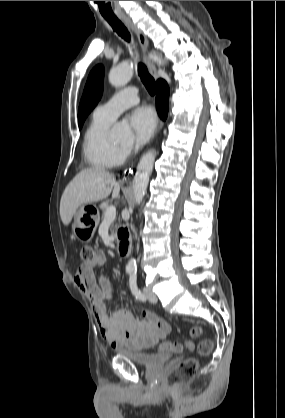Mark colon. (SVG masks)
<instances>
[{
	"mask_svg": "<svg viewBox=\"0 0 285 418\" xmlns=\"http://www.w3.org/2000/svg\"><path fill=\"white\" fill-rule=\"evenodd\" d=\"M97 256V252L93 247H84L80 251L81 260L84 263H92ZM202 334V329L200 327H194L190 330V335L192 337H199ZM214 342L211 338H203L199 341L197 346V352L199 357L207 356L213 349ZM160 351L178 353L185 349H189V341L185 342H171L165 341L161 342L158 345ZM199 358L192 357L183 360L177 364L167 375L164 385L167 388H173L181 386L190 382L194 377L198 367H199Z\"/></svg>",
	"mask_w": 285,
	"mask_h": 418,
	"instance_id": "1",
	"label": "colon"
}]
</instances>
